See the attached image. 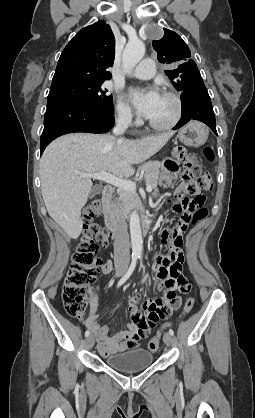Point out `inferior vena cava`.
Returning a JSON list of instances; mask_svg holds the SVG:
<instances>
[{
    "label": "inferior vena cava",
    "mask_w": 255,
    "mask_h": 418,
    "mask_svg": "<svg viewBox=\"0 0 255 418\" xmlns=\"http://www.w3.org/2000/svg\"><path fill=\"white\" fill-rule=\"evenodd\" d=\"M130 117L127 114L120 115L117 124L113 129L115 135H122L128 128ZM114 256L116 261L130 260V241L124 220L117 218V225L114 233Z\"/></svg>",
    "instance_id": "obj_1"
}]
</instances>
